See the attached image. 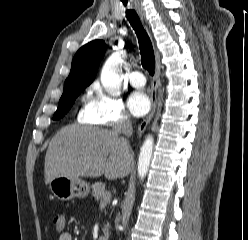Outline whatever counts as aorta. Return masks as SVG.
Masks as SVG:
<instances>
[{"label":"aorta","mask_w":248,"mask_h":240,"mask_svg":"<svg viewBox=\"0 0 248 240\" xmlns=\"http://www.w3.org/2000/svg\"><path fill=\"white\" fill-rule=\"evenodd\" d=\"M123 52L112 54L105 62L101 70V83L104 89L112 96L120 94V66L123 62ZM154 140L152 136H148L139 153L138 158V175L141 179L147 174L152 158Z\"/></svg>","instance_id":"aorta-1"}]
</instances>
